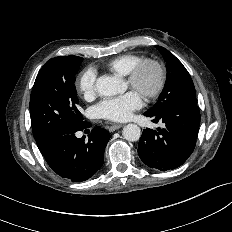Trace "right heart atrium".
I'll return each mask as SVG.
<instances>
[{
    "label": "right heart atrium",
    "mask_w": 232,
    "mask_h": 232,
    "mask_svg": "<svg viewBox=\"0 0 232 232\" xmlns=\"http://www.w3.org/2000/svg\"><path fill=\"white\" fill-rule=\"evenodd\" d=\"M97 73L93 68L85 69L77 80V88L79 93L85 97L90 98L96 92Z\"/></svg>",
    "instance_id": "right-heart-atrium-1"
}]
</instances>
